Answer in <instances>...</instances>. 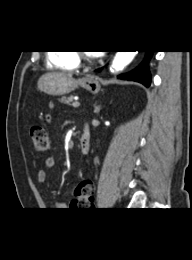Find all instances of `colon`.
I'll return each instance as SVG.
<instances>
[{
	"mask_svg": "<svg viewBox=\"0 0 192 260\" xmlns=\"http://www.w3.org/2000/svg\"><path fill=\"white\" fill-rule=\"evenodd\" d=\"M33 147L36 153L42 154L49 149L50 140L46 130L42 126H33L30 131ZM94 184L90 179H83L75 188L76 201L84 202L93 200Z\"/></svg>",
	"mask_w": 192,
	"mask_h": 260,
	"instance_id": "5ec220e1",
	"label": "colon"
}]
</instances>
